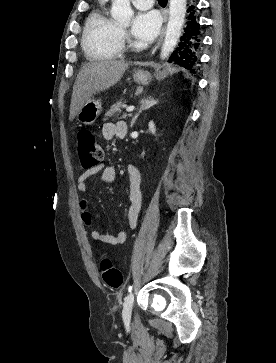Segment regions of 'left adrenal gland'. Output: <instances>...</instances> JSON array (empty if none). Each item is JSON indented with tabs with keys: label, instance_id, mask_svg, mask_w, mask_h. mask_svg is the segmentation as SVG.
<instances>
[{
	"label": "left adrenal gland",
	"instance_id": "obj_1",
	"mask_svg": "<svg viewBox=\"0 0 276 363\" xmlns=\"http://www.w3.org/2000/svg\"><path fill=\"white\" fill-rule=\"evenodd\" d=\"M158 103V100H155L153 97H148L147 99H143L141 101V106L140 109L138 111V113H136V115L133 117L132 121H131V125L130 127L132 128L135 121L137 120V118L139 117V115L142 113V111L150 109L151 107H153L154 105H156Z\"/></svg>",
	"mask_w": 276,
	"mask_h": 363
}]
</instances>
